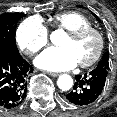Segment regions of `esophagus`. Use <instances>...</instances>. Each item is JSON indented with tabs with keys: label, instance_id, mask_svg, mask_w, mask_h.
Instances as JSON below:
<instances>
[{
	"label": "esophagus",
	"instance_id": "1",
	"mask_svg": "<svg viewBox=\"0 0 117 117\" xmlns=\"http://www.w3.org/2000/svg\"><path fill=\"white\" fill-rule=\"evenodd\" d=\"M48 74H49L50 76H53V77L59 76V73H57V72H48Z\"/></svg>",
	"mask_w": 117,
	"mask_h": 117
}]
</instances>
